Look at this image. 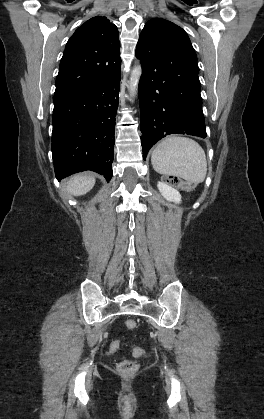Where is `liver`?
<instances>
[{
	"instance_id": "6515ba94",
	"label": "liver",
	"mask_w": 264,
	"mask_h": 419,
	"mask_svg": "<svg viewBox=\"0 0 264 419\" xmlns=\"http://www.w3.org/2000/svg\"><path fill=\"white\" fill-rule=\"evenodd\" d=\"M95 185V177L88 174H77L70 178L67 190L74 196L88 193Z\"/></svg>"
}]
</instances>
